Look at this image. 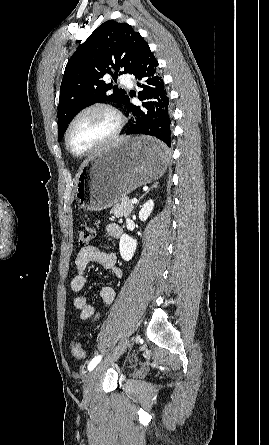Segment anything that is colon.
Listing matches in <instances>:
<instances>
[{"mask_svg":"<svg viewBox=\"0 0 269 445\" xmlns=\"http://www.w3.org/2000/svg\"><path fill=\"white\" fill-rule=\"evenodd\" d=\"M95 236V227L87 222L80 224L77 230L78 244L84 248L89 245ZM71 353L77 359H82L85 356V352L80 343L74 341L71 344Z\"/></svg>","mask_w":269,"mask_h":445,"instance_id":"obj_1","label":"colon"}]
</instances>
